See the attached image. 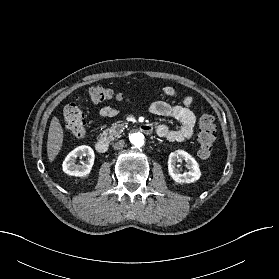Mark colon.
<instances>
[{
  "mask_svg": "<svg viewBox=\"0 0 279 279\" xmlns=\"http://www.w3.org/2000/svg\"><path fill=\"white\" fill-rule=\"evenodd\" d=\"M88 99L92 103H100L110 99L123 100L122 94L105 86H94L89 89ZM63 118L67 129L76 137L85 136V115L76 103H69L63 109ZM197 140L198 154L201 158H209L214 149L215 125L208 114H202L199 121Z\"/></svg>",
  "mask_w": 279,
  "mask_h": 279,
  "instance_id": "1",
  "label": "colon"
}]
</instances>
